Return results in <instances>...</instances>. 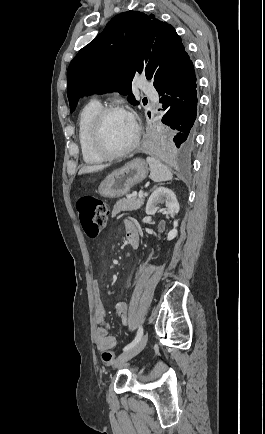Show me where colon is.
<instances>
[{
  "mask_svg": "<svg viewBox=\"0 0 265 434\" xmlns=\"http://www.w3.org/2000/svg\"><path fill=\"white\" fill-rule=\"evenodd\" d=\"M74 206L84 235L89 239L97 238L107 219V205L101 199L88 196L79 198ZM101 353L100 357L106 365H111L115 361V352L109 347Z\"/></svg>",
  "mask_w": 265,
  "mask_h": 434,
  "instance_id": "obj_1",
  "label": "colon"
}]
</instances>
